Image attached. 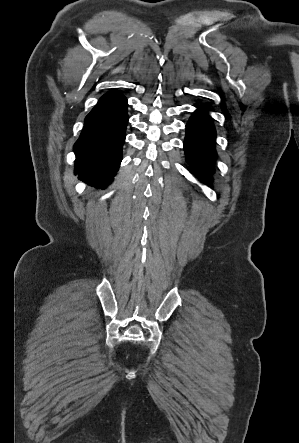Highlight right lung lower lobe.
I'll return each instance as SVG.
<instances>
[{
	"label": "right lung lower lobe",
	"mask_w": 299,
	"mask_h": 443,
	"mask_svg": "<svg viewBox=\"0 0 299 443\" xmlns=\"http://www.w3.org/2000/svg\"><path fill=\"white\" fill-rule=\"evenodd\" d=\"M127 122L126 98L118 91L103 95L87 115L74 146L80 178L97 188L111 183L122 160Z\"/></svg>",
	"instance_id": "98d812e1"
}]
</instances>
